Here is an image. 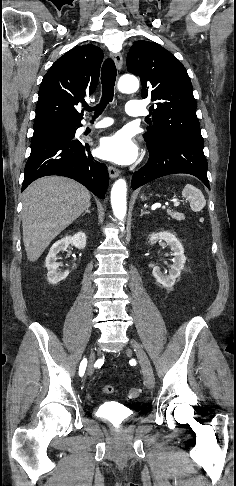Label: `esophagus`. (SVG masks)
I'll use <instances>...</instances> for the list:
<instances>
[{
	"label": "esophagus",
	"mask_w": 236,
	"mask_h": 486,
	"mask_svg": "<svg viewBox=\"0 0 236 486\" xmlns=\"http://www.w3.org/2000/svg\"><path fill=\"white\" fill-rule=\"evenodd\" d=\"M111 56L115 62L116 68L120 70L123 65L122 54L120 52H115ZM108 172L111 178H117L121 174V171L113 166L108 167Z\"/></svg>",
	"instance_id": "1"
}]
</instances>
